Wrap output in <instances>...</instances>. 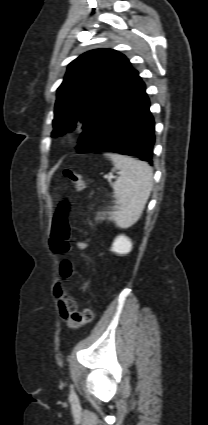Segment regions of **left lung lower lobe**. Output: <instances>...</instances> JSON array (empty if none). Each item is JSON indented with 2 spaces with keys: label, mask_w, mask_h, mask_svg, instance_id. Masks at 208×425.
I'll use <instances>...</instances> for the list:
<instances>
[{
  "label": "left lung lower lobe",
  "mask_w": 208,
  "mask_h": 425,
  "mask_svg": "<svg viewBox=\"0 0 208 425\" xmlns=\"http://www.w3.org/2000/svg\"><path fill=\"white\" fill-rule=\"evenodd\" d=\"M145 89L137 75L84 129L79 152L137 156L152 164L155 124Z\"/></svg>",
  "instance_id": "0a47b994"
}]
</instances>
